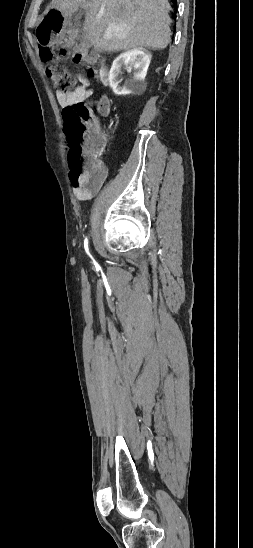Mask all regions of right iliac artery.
<instances>
[{
	"label": "right iliac artery",
	"instance_id": "1",
	"mask_svg": "<svg viewBox=\"0 0 253 548\" xmlns=\"http://www.w3.org/2000/svg\"><path fill=\"white\" fill-rule=\"evenodd\" d=\"M84 247H85V250H86L87 253H88V240H87V238H86L85 241H84Z\"/></svg>",
	"mask_w": 253,
	"mask_h": 548
}]
</instances>
